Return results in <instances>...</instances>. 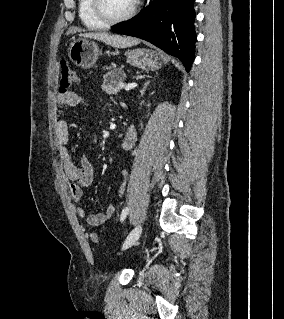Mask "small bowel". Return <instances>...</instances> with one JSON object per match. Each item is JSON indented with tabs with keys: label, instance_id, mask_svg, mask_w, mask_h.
Here are the masks:
<instances>
[{
	"label": "small bowel",
	"instance_id": "1",
	"mask_svg": "<svg viewBox=\"0 0 284 319\" xmlns=\"http://www.w3.org/2000/svg\"><path fill=\"white\" fill-rule=\"evenodd\" d=\"M57 107L67 109L70 107L83 104V98L76 92L69 91L60 94L56 101ZM55 138L57 144L61 147V158L65 174L70 181V193L77 206L78 215L84 219L90 226H100L115 214V207L109 205L105 212L87 214L82 206L83 190L91 185L94 179V167L88 157L85 155L80 157L79 165H76L66 148L69 141V130L67 122L58 117L55 121ZM123 177L127 176V171H122ZM126 189L125 182H122L118 189V195L123 196Z\"/></svg>",
	"mask_w": 284,
	"mask_h": 319
}]
</instances>
